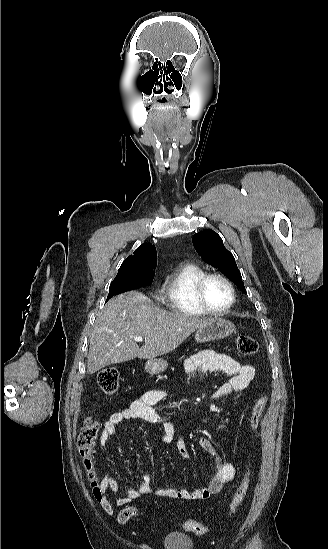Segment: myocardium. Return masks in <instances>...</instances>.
<instances>
[{
    "label": "myocardium",
    "mask_w": 328,
    "mask_h": 549,
    "mask_svg": "<svg viewBox=\"0 0 328 549\" xmlns=\"http://www.w3.org/2000/svg\"><path fill=\"white\" fill-rule=\"evenodd\" d=\"M212 279L222 280L224 283L227 284L231 292V301L229 305L221 311H213L204 306L207 304V301L205 298L206 285ZM195 298L198 304L195 305L194 308L199 314L219 319L229 315L232 312L237 301V292H236V288L233 281L228 276L218 271H212V272H206L197 281V284L195 287Z\"/></svg>",
    "instance_id": "obj_1"
}]
</instances>
